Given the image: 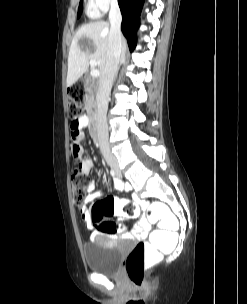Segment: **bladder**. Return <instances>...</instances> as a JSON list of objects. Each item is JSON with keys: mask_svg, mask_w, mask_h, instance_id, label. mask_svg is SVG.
Instances as JSON below:
<instances>
[{"mask_svg": "<svg viewBox=\"0 0 247 304\" xmlns=\"http://www.w3.org/2000/svg\"><path fill=\"white\" fill-rule=\"evenodd\" d=\"M84 256L89 270L115 274L123 257V249L119 242L100 238L85 246Z\"/></svg>", "mask_w": 247, "mask_h": 304, "instance_id": "bladder-1", "label": "bladder"}]
</instances>
